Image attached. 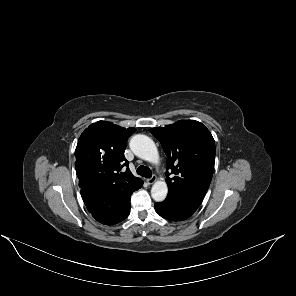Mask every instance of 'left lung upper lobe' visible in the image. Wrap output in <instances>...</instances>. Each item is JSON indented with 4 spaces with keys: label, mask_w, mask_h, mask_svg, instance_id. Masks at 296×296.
<instances>
[{
    "label": "left lung upper lobe",
    "mask_w": 296,
    "mask_h": 296,
    "mask_svg": "<svg viewBox=\"0 0 296 296\" xmlns=\"http://www.w3.org/2000/svg\"><path fill=\"white\" fill-rule=\"evenodd\" d=\"M150 132L167 155V199L201 203L214 172L215 142L209 130L195 120H181Z\"/></svg>",
    "instance_id": "left-lung-upper-lobe-1"
}]
</instances>
